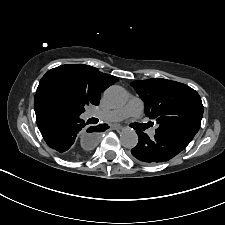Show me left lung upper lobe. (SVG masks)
I'll return each mask as SVG.
<instances>
[{"instance_id":"obj_1","label":"left lung upper lobe","mask_w":225,"mask_h":225,"mask_svg":"<svg viewBox=\"0 0 225 225\" xmlns=\"http://www.w3.org/2000/svg\"><path fill=\"white\" fill-rule=\"evenodd\" d=\"M131 86L143 99L146 115L159 124L156 133L198 132L203 105L191 87L162 78L134 81Z\"/></svg>"}]
</instances>
